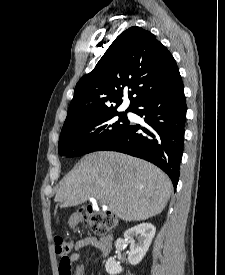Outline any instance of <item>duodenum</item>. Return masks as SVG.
<instances>
[{
    "instance_id": "duodenum-1",
    "label": "duodenum",
    "mask_w": 225,
    "mask_h": 275,
    "mask_svg": "<svg viewBox=\"0 0 225 275\" xmlns=\"http://www.w3.org/2000/svg\"><path fill=\"white\" fill-rule=\"evenodd\" d=\"M101 253L107 256L112 249V236L108 234H102L100 237Z\"/></svg>"
}]
</instances>
